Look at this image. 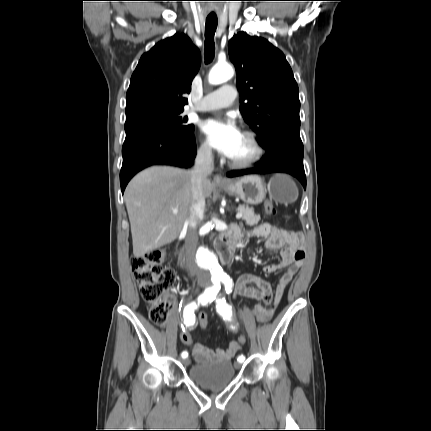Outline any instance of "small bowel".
I'll return each mask as SVG.
<instances>
[{"label": "small bowel", "mask_w": 431, "mask_h": 431, "mask_svg": "<svg viewBox=\"0 0 431 431\" xmlns=\"http://www.w3.org/2000/svg\"><path fill=\"white\" fill-rule=\"evenodd\" d=\"M249 234L258 238H267V251L270 253L279 252L281 255L279 263L264 267L266 273L271 274L286 269L275 289L267 281L250 273L240 276L234 286L235 295L259 302L253 307V310H258L257 319L259 322H266L275 313L285 289L302 265L305 251L302 246V236L299 233L279 229L269 223L256 226ZM190 347L192 356L197 363H208L229 361L243 346H240L235 340L226 349H211L199 343H194Z\"/></svg>", "instance_id": "c3829d8e"}]
</instances>
